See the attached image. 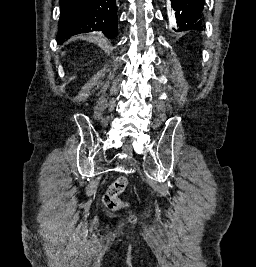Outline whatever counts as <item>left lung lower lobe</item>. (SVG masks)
I'll list each match as a JSON object with an SVG mask.
<instances>
[{"label":"left lung lower lobe","instance_id":"obj_1","mask_svg":"<svg viewBox=\"0 0 256 267\" xmlns=\"http://www.w3.org/2000/svg\"><path fill=\"white\" fill-rule=\"evenodd\" d=\"M205 0H171L179 31L197 29L203 26L202 9Z\"/></svg>","mask_w":256,"mask_h":267}]
</instances>
